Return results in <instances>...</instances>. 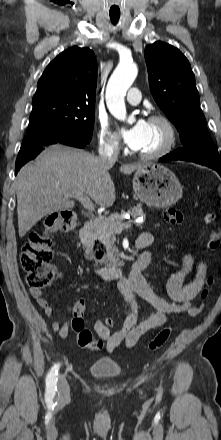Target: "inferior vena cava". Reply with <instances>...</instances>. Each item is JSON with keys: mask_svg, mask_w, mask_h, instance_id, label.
<instances>
[{"mask_svg": "<svg viewBox=\"0 0 221 440\" xmlns=\"http://www.w3.org/2000/svg\"><path fill=\"white\" fill-rule=\"evenodd\" d=\"M98 154L101 160L113 165L118 158V147L112 141L101 143L98 148Z\"/></svg>", "mask_w": 221, "mask_h": 440, "instance_id": "602c4592", "label": "inferior vena cava"}]
</instances>
